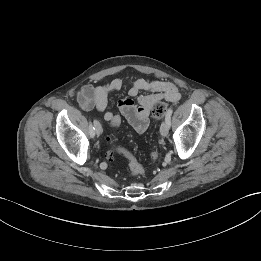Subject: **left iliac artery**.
Listing matches in <instances>:
<instances>
[{
  "label": "left iliac artery",
  "instance_id": "44dca946",
  "mask_svg": "<svg viewBox=\"0 0 261 261\" xmlns=\"http://www.w3.org/2000/svg\"><path fill=\"white\" fill-rule=\"evenodd\" d=\"M173 110L169 109L165 115V120L169 123L170 125V120H171V115H172Z\"/></svg>",
  "mask_w": 261,
  "mask_h": 261
}]
</instances>
